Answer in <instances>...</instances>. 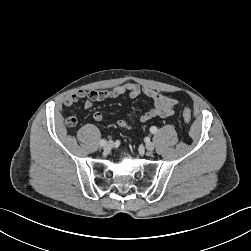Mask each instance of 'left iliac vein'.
<instances>
[{
  "mask_svg": "<svg viewBox=\"0 0 251 251\" xmlns=\"http://www.w3.org/2000/svg\"><path fill=\"white\" fill-rule=\"evenodd\" d=\"M145 148H146V150H148V151H152V150H154L155 145H154L153 142H147V143L145 144Z\"/></svg>",
  "mask_w": 251,
  "mask_h": 251,
  "instance_id": "left-iliac-vein-1",
  "label": "left iliac vein"
}]
</instances>
